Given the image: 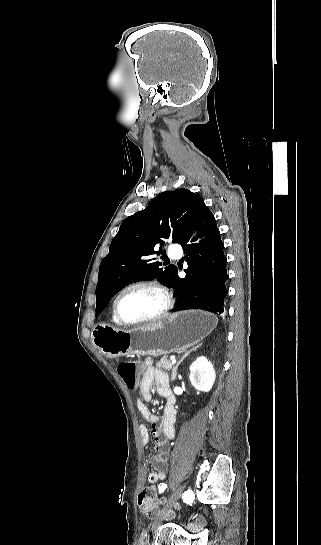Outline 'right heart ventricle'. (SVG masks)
Masks as SVG:
<instances>
[{
    "instance_id": "obj_1",
    "label": "right heart ventricle",
    "mask_w": 321,
    "mask_h": 545,
    "mask_svg": "<svg viewBox=\"0 0 321 545\" xmlns=\"http://www.w3.org/2000/svg\"><path fill=\"white\" fill-rule=\"evenodd\" d=\"M111 322L113 325L115 326H119V322L117 321L115 315H114V311H113V305H112V308H111Z\"/></svg>"
}]
</instances>
